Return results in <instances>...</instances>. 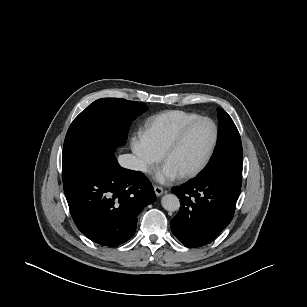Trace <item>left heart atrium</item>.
Listing matches in <instances>:
<instances>
[{
	"instance_id": "39dd6f15",
	"label": "left heart atrium",
	"mask_w": 307,
	"mask_h": 307,
	"mask_svg": "<svg viewBox=\"0 0 307 307\" xmlns=\"http://www.w3.org/2000/svg\"><path fill=\"white\" fill-rule=\"evenodd\" d=\"M179 177H180V174L166 163L156 174V179L161 183H168Z\"/></svg>"
}]
</instances>
